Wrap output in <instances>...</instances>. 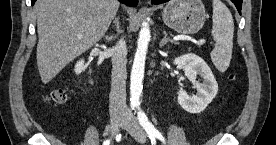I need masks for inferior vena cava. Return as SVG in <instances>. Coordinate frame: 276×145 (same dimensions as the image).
I'll use <instances>...</instances> for the list:
<instances>
[{
	"label": "inferior vena cava",
	"instance_id": "inferior-vena-cava-1",
	"mask_svg": "<svg viewBox=\"0 0 276 145\" xmlns=\"http://www.w3.org/2000/svg\"><path fill=\"white\" fill-rule=\"evenodd\" d=\"M112 77L111 91L109 97V111L111 116L124 115L127 111L126 105V64L127 47L122 38L112 49Z\"/></svg>",
	"mask_w": 276,
	"mask_h": 145
}]
</instances>
